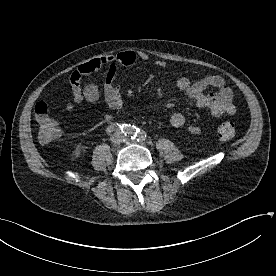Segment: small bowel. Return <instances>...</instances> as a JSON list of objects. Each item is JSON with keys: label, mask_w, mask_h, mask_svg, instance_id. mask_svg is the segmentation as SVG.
Wrapping results in <instances>:
<instances>
[{"label": "small bowel", "mask_w": 276, "mask_h": 276, "mask_svg": "<svg viewBox=\"0 0 276 276\" xmlns=\"http://www.w3.org/2000/svg\"><path fill=\"white\" fill-rule=\"evenodd\" d=\"M148 59L149 55L145 52L128 50L82 63L71 74L69 93L77 104L83 101L92 104L98 103L101 98L98 86L94 83H88L82 87L81 79L93 72L105 69L106 75L103 88L105 103L111 110L119 109L123 101L119 88L113 84L118 67L131 66L137 61H147ZM156 65L164 67L165 63L159 60ZM177 86L199 108L209 109L214 116L232 115L235 112V106L232 103V91L226 86L220 75H207L195 82L182 77L177 81ZM170 123L176 128L184 127L186 123L185 115L181 112H174L170 117ZM186 130L191 134H199L203 131L201 127L196 125L188 126Z\"/></svg>", "instance_id": "c3829d8e"}]
</instances>
